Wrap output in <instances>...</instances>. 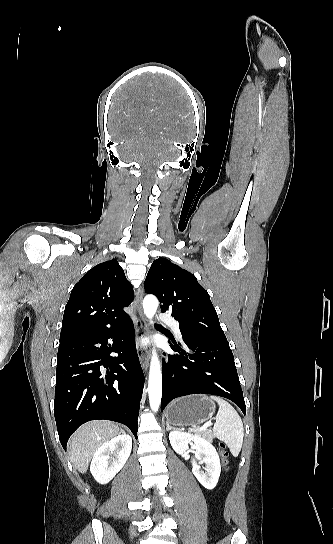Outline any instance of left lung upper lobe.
I'll return each instance as SVG.
<instances>
[{"mask_svg": "<svg viewBox=\"0 0 333 544\" xmlns=\"http://www.w3.org/2000/svg\"><path fill=\"white\" fill-rule=\"evenodd\" d=\"M144 288L146 293L158 298L161 312L170 310L179 321L183 339L227 340L209 294L192 273L165 258H158L148 271Z\"/></svg>", "mask_w": 333, "mask_h": 544, "instance_id": "obj_1", "label": "left lung upper lobe"}]
</instances>
